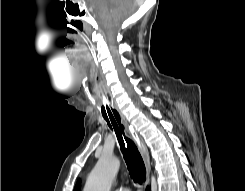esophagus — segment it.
<instances>
[{
    "label": "esophagus",
    "mask_w": 245,
    "mask_h": 191,
    "mask_svg": "<svg viewBox=\"0 0 245 191\" xmlns=\"http://www.w3.org/2000/svg\"><path fill=\"white\" fill-rule=\"evenodd\" d=\"M119 115L121 117L122 122L124 123L126 129L128 130V132L131 134V136L133 137V139L135 140L138 149L141 153V156L143 158V161L145 163V167H146V171H147V178H146V185L150 184V157H149V153H148V149L144 143L143 138L139 135L138 131L134 128V126L130 123V121L125 117V115L118 111Z\"/></svg>",
    "instance_id": "obj_1"
}]
</instances>
